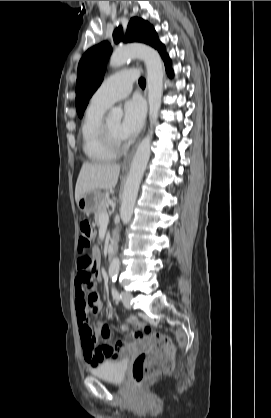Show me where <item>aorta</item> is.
Returning <instances> with one entry per match:
<instances>
[{"label":"aorta","mask_w":271,"mask_h":418,"mask_svg":"<svg viewBox=\"0 0 271 418\" xmlns=\"http://www.w3.org/2000/svg\"><path fill=\"white\" fill-rule=\"evenodd\" d=\"M132 58H139L143 60L146 65L150 130L137 148L124 186L120 207V216L123 224L128 223L132 217L140 183L150 158L151 140L153 135L152 126L158 119L164 79L163 61L159 53L155 49L143 44H132L117 48L110 57L109 65L112 68H116L122 66L127 60ZM122 116L123 112L120 108H113L109 114V119L119 122L121 121ZM119 267L120 261L119 258L116 257L111 261L109 266L110 277L117 276Z\"/></svg>","instance_id":"762f6f07"}]
</instances>
